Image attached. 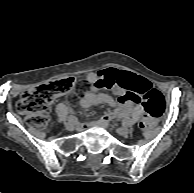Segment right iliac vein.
Segmentation results:
<instances>
[{"label": "right iliac vein", "mask_w": 194, "mask_h": 193, "mask_svg": "<svg viewBox=\"0 0 194 193\" xmlns=\"http://www.w3.org/2000/svg\"><path fill=\"white\" fill-rule=\"evenodd\" d=\"M76 123L77 122L68 121L67 123H65V127L67 130L73 131L75 129Z\"/></svg>", "instance_id": "right-iliac-vein-1"}]
</instances>
